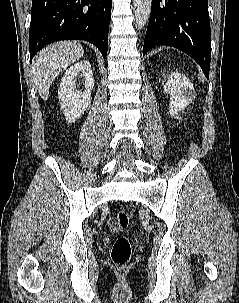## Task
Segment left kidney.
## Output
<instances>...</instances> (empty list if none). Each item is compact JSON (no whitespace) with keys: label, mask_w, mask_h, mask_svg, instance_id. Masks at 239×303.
Listing matches in <instances>:
<instances>
[{"label":"left kidney","mask_w":239,"mask_h":303,"mask_svg":"<svg viewBox=\"0 0 239 303\" xmlns=\"http://www.w3.org/2000/svg\"><path fill=\"white\" fill-rule=\"evenodd\" d=\"M164 92L170 95L168 113L178 116L195 98L196 92L191 81L178 72H172L164 86Z\"/></svg>","instance_id":"left-kidney-1"}]
</instances>
